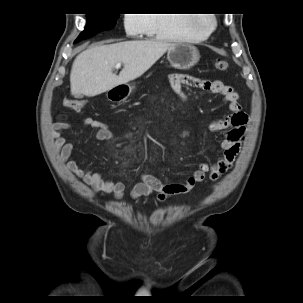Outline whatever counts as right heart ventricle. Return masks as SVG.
Returning <instances> with one entry per match:
<instances>
[{
    "label": "right heart ventricle",
    "instance_id": "1",
    "mask_svg": "<svg viewBox=\"0 0 303 303\" xmlns=\"http://www.w3.org/2000/svg\"><path fill=\"white\" fill-rule=\"evenodd\" d=\"M145 33L166 40H183L196 38L188 14H147Z\"/></svg>",
    "mask_w": 303,
    "mask_h": 303
}]
</instances>
